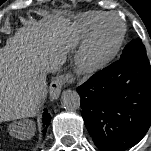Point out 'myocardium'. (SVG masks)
<instances>
[{"label":"myocardium","mask_w":151,"mask_h":151,"mask_svg":"<svg viewBox=\"0 0 151 151\" xmlns=\"http://www.w3.org/2000/svg\"><path fill=\"white\" fill-rule=\"evenodd\" d=\"M114 18L119 21L121 31L113 46L105 53L98 54L95 51V45L103 24L108 20ZM125 22L115 13H108L104 15L89 32L84 41L78 56L77 62L82 71L87 73L97 72L105 68L118 54L126 35Z\"/></svg>","instance_id":"f54148a6"}]
</instances>
